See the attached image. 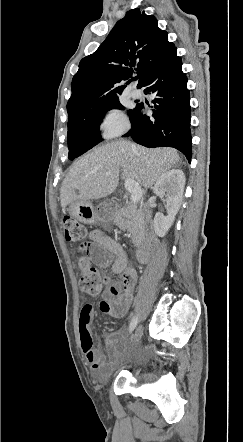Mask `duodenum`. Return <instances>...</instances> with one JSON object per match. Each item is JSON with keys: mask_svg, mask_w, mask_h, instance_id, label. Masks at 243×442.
Masks as SVG:
<instances>
[{"mask_svg": "<svg viewBox=\"0 0 243 442\" xmlns=\"http://www.w3.org/2000/svg\"><path fill=\"white\" fill-rule=\"evenodd\" d=\"M147 213L148 209L146 207H143L139 214V218L143 223L144 235V240L136 251V259L139 263H146L149 261L155 246L153 226L147 216Z\"/></svg>", "mask_w": 243, "mask_h": 442, "instance_id": "410a0bca", "label": "duodenum"}]
</instances>
